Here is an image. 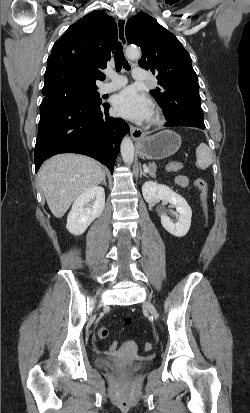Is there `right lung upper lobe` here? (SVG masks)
Wrapping results in <instances>:
<instances>
[{
	"instance_id": "cb5924a9",
	"label": "right lung upper lobe",
	"mask_w": 250,
	"mask_h": 413,
	"mask_svg": "<svg viewBox=\"0 0 250 413\" xmlns=\"http://www.w3.org/2000/svg\"><path fill=\"white\" fill-rule=\"evenodd\" d=\"M117 24L102 11H93L71 25L53 45L47 60L42 94L70 88H97L96 80L105 78L117 43Z\"/></svg>"
}]
</instances>
